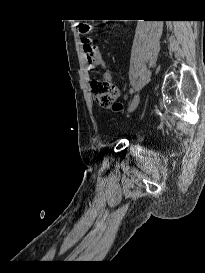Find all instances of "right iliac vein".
I'll return each instance as SVG.
<instances>
[{"instance_id": "63e3f726", "label": "right iliac vein", "mask_w": 205, "mask_h": 273, "mask_svg": "<svg viewBox=\"0 0 205 273\" xmlns=\"http://www.w3.org/2000/svg\"><path fill=\"white\" fill-rule=\"evenodd\" d=\"M139 102H140V96L137 94V95H135L134 99L132 100V102H131V104L129 106L128 111L129 112L134 111L137 108Z\"/></svg>"}]
</instances>
